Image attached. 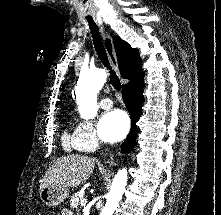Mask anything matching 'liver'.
Here are the masks:
<instances>
[{
    "instance_id": "liver-1",
    "label": "liver",
    "mask_w": 221,
    "mask_h": 215,
    "mask_svg": "<svg viewBox=\"0 0 221 215\" xmlns=\"http://www.w3.org/2000/svg\"><path fill=\"white\" fill-rule=\"evenodd\" d=\"M95 168L90 156L68 155L57 159L41 180L40 191L48 186L60 189L77 187L87 181Z\"/></svg>"
}]
</instances>
